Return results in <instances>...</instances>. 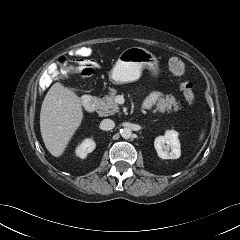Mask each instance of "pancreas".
<instances>
[{
    "label": "pancreas",
    "instance_id": "pancreas-1",
    "mask_svg": "<svg viewBox=\"0 0 240 240\" xmlns=\"http://www.w3.org/2000/svg\"><path fill=\"white\" fill-rule=\"evenodd\" d=\"M115 95L116 91H112L110 95H107L102 99H98V113L100 116H109L119 112V106L114 101ZM172 107L174 110L180 109L179 102H177L173 95H167L165 98L160 100L152 113H164L165 111L172 110Z\"/></svg>",
    "mask_w": 240,
    "mask_h": 240
}]
</instances>
